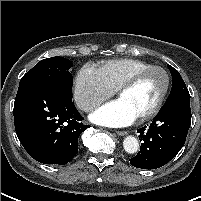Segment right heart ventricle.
Wrapping results in <instances>:
<instances>
[{
  "label": "right heart ventricle",
  "mask_w": 201,
  "mask_h": 201,
  "mask_svg": "<svg viewBox=\"0 0 201 201\" xmlns=\"http://www.w3.org/2000/svg\"><path fill=\"white\" fill-rule=\"evenodd\" d=\"M149 66L152 65L138 59L121 58L101 63L98 70L106 84L115 91L128 77Z\"/></svg>",
  "instance_id": "1"
}]
</instances>
